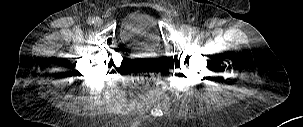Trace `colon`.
<instances>
[{"label": "colon", "mask_w": 303, "mask_h": 127, "mask_svg": "<svg viewBox=\"0 0 303 127\" xmlns=\"http://www.w3.org/2000/svg\"><path fill=\"white\" fill-rule=\"evenodd\" d=\"M160 67L153 61H141L137 64L136 74L139 84L146 90L153 93L157 90L156 75L159 73Z\"/></svg>", "instance_id": "1"}]
</instances>
